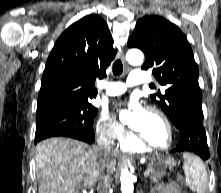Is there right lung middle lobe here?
I'll list each match as a JSON object with an SVG mask.
<instances>
[{
  "label": "right lung middle lobe",
  "instance_id": "right-lung-middle-lobe-1",
  "mask_svg": "<svg viewBox=\"0 0 221 193\" xmlns=\"http://www.w3.org/2000/svg\"><path fill=\"white\" fill-rule=\"evenodd\" d=\"M97 109L89 102H59L37 107L35 141L67 136L77 139L93 137V120Z\"/></svg>",
  "mask_w": 221,
  "mask_h": 193
}]
</instances>
